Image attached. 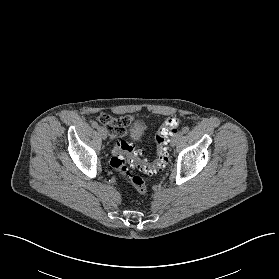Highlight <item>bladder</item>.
I'll return each instance as SVG.
<instances>
[{
  "label": "bladder",
  "mask_w": 279,
  "mask_h": 279,
  "mask_svg": "<svg viewBox=\"0 0 279 279\" xmlns=\"http://www.w3.org/2000/svg\"><path fill=\"white\" fill-rule=\"evenodd\" d=\"M139 124H140L139 122H134L130 129V136L132 140L138 139L146 128L143 122H141V125Z\"/></svg>",
  "instance_id": "bladder-1"
}]
</instances>
